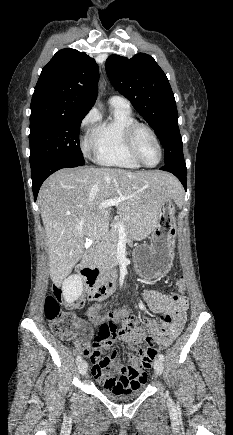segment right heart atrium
<instances>
[{
    "instance_id": "right-heart-atrium-1",
    "label": "right heart atrium",
    "mask_w": 233,
    "mask_h": 435,
    "mask_svg": "<svg viewBox=\"0 0 233 435\" xmlns=\"http://www.w3.org/2000/svg\"><path fill=\"white\" fill-rule=\"evenodd\" d=\"M98 122V114L95 110L89 111L86 116L83 118L81 122V128L87 129L89 127H92L96 125ZM94 149V144L92 140L89 138H86L82 141V150L85 155L90 154V152Z\"/></svg>"
}]
</instances>
